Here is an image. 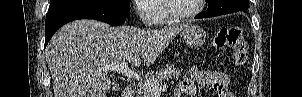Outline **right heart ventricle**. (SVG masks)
Here are the masks:
<instances>
[{
  "label": "right heart ventricle",
  "mask_w": 302,
  "mask_h": 97,
  "mask_svg": "<svg viewBox=\"0 0 302 97\" xmlns=\"http://www.w3.org/2000/svg\"><path fill=\"white\" fill-rule=\"evenodd\" d=\"M164 1H159L156 6L158 7V12H159V20L158 23L160 25H167L169 24L171 21L169 19V17L167 16V14L164 11Z\"/></svg>",
  "instance_id": "e07e8e85"
}]
</instances>
